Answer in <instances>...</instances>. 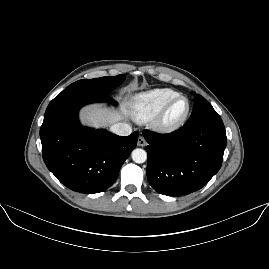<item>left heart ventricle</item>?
Returning <instances> with one entry per match:
<instances>
[{
    "label": "left heart ventricle",
    "instance_id": "left-heart-ventricle-1",
    "mask_svg": "<svg viewBox=\"0 0 269 269\" xmlns=\"http://www.w3.org/2000/svg\"><path fill=\"white\" fill-rule=\"evenodd\" d=\"M186 101L184 99H180L178 100L173 108L171 109V112H170V119L171 120H176L178 119L179 117L182 116V114L184 113L185 109H186Z\"/></svg>",
    "mask_w": 269,
    "mask_h": 269
}]
</instances>
